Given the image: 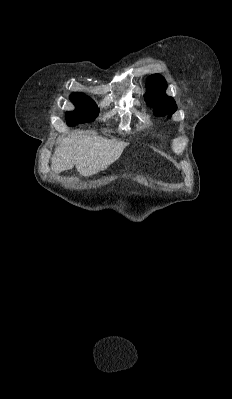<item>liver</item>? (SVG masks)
Returning a JSON list of instances; mask_svg holds the SVG:
<instances>
[{
    "label": "liver",
    "instance_id": "1",
    "mask_svg": "<svg viewBox=\"0 0 232 399\" xmlns=\"http://www.w3.org/2000/svg\"><path fill=\"white\" fill-rule=\"evenodd\" d=\"M126 146L127 142L87 136L82 130H75L67 138H61L51 160L52 172L60 174L76 166L81 176H94L116 162Z\"/></svg>",
    "mask_w": 232,
    "mask_h": 399
}]
</instances>
